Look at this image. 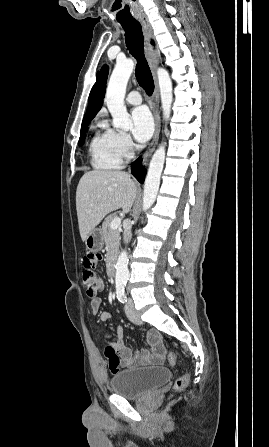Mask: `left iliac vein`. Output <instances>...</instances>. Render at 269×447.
Listing matches in <instances>:
<instances>
[{
	"label": "left iliac vein",
	"mask_w": 269,
	"mask_h": 447,
	"mask_svg": "<svg viewBox=\"0 0 269 447\" xmlns=\"http://www.w3.org/2000/svg\"><path fill=\"white\" fill-rule=\"evenodd\" d=\"M125 313L131 322L137 325H140L142 323V320L136 314V310L132 305L131 300H128L127 304L125 305Z\"/></svg>",
	"instance_id": "1"
}]
</instances>
